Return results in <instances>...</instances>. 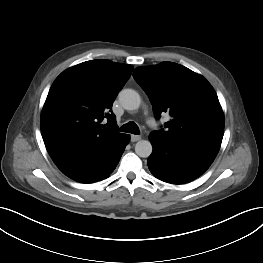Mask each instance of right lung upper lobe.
<instances>
[{"label": "right lung upper lobe", "mask_w": 263, "mask_h": 263, "mask_svg": "<svg viewBox=\"0 0 263 263\" xmlns=\"http://www.w3.org/2000/svg\"><path fill=\"white\" fill-rule=\"evenodd\" d=\"M132 70L131 65L97 59L56 78L42 110L41 132L58 167L119 143L125 134L117 131L112 105Z\"/></svg>", "instance_id": "right-lung-upper-lobe-1"}]
</instances>
